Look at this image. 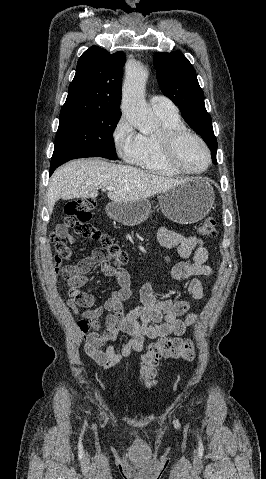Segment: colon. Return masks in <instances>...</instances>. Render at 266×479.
<instances>
[{
	"mask_svg": "<svg viewBox=\"0 0 266 479\" xmlns=\"http://www.w3.org/2000/svg\"><path fill=\"white\" fill-rule=\"evenodd\" d=\"M94 206L95 201L91 197L73 199L65 204L64 218L53 230V238L56 239V257L69 258L71 256L70 248L64 242L58 241V238L73 229L82 236L98 241L105 257L116 265L127 264L129 262L128 253L110 235L102 233L90 223ZM199 232L204 237L215 238L217 236L215 219L213 217L205 218L199 227ZM82 292L89 295L94 301L88 291L82 289ZM70 293L75 294V291L72 289ZM163 357L192 361L195 357L194 345L188 339L169 337L151 342L147 350L142 353L139 363V376L146 388L151 389L156 386L155 367Z\"/></svg>",
	"mask_w": 266,
	"mask_h": 479,
	"instance_id": "obj_1",
	"label": "colon"
}]
</instances>
